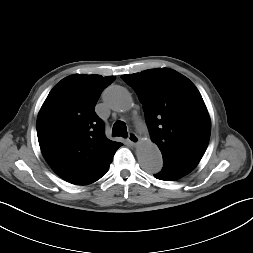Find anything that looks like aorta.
<instances>
[{
	"label": "aorta",
	"instance_id": "aorta-1",
	"mask_svg": "<svg viewBox=\"0 0 253 253\" xmlns=\"http://www.w3.org/2000/svg\"><path fill=\"white\" fill-rule=\"evenodd\" d=\"M103 100L114 111H127L132 106L131 94L126 88L118 85L108 87L103 94ZM136 155L145 171L157 173L161 170L162 155L156 144L150 141L141 142L136 149Z\"/></svg>",
	"mask_w": 253,
	"mask_h": 253
}]
</instances>
